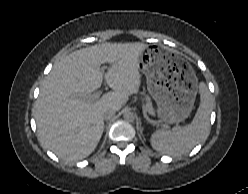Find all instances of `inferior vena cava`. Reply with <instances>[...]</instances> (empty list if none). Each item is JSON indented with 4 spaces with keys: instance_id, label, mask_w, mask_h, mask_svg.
<instances>
[{
    "instance_id": "602c4592",
    "label": "inferior vena cava",
    "mask_w": 248,
    "mask_h": 194,
    "mask_svg": "<svg viewBox=\"0 0 248 194\" xmlns=\"http://www.w3.org/2000/svg\"><path fill=\"white\" fill-rule=\"evenodd\" d=\"M116 110L115 109H108L104 113V119L109 120L115 116Z\"/></svg>"
}]
</instances>
